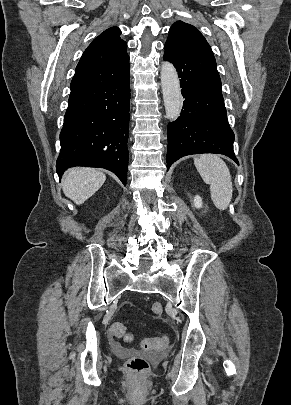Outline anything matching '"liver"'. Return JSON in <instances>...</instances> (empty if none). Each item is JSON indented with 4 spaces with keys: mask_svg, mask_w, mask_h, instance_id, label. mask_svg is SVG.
<instances>
[{
    "mask_svg": "<svg viewBox=\"0 0 291 405\" xmlns=\"http://www.w3.org/2000/svg\"><path fill=\"white\" fill-rule=\"evenodd\" d=\"M105 180V174L94 168L77 167L64 174L62 188L67 197L80 205L95 194Z\"/></svg>",
    "mask_w": 291,
    "mask_h": 405,
    "instance_id": "obj_1",
    "label": "liver"
}]
</instances>
